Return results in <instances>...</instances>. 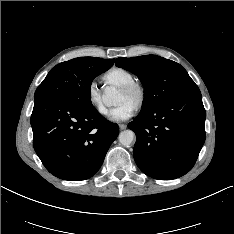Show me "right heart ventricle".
<instances>
[{
    "mask_svg": "<svg viewBox=\"0 0 234 234\" xmlns=\"http://www.w3.org/2000/svg\"><path fill=\"white\" fill-rule=\"evenodd\" d=\"M103 79L109 84L121 87L124 84L133 81L134 76L126 69L113 67L104 73Z\"/></svg>",
    "mask_w": 234,
    "mask_h": 234,
    "instance_id": "1",
    "label": "right heart ventricle"
}]
</instances>
